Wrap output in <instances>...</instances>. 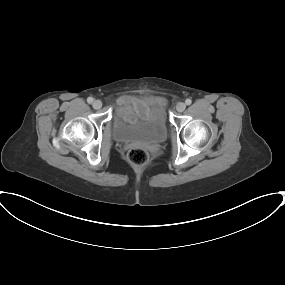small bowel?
<instances>
[{"instance_id": "obj_1", "label": "small bowel", "mask_w": 285, "mask_h": 285, "mask_svg": "<svg viewBox=\"0 0 285 285\" xmlns=\"http://www.w3.org/2000/svg\"><path fill=\"white\" fill-rule=\"evenodd\" d=\"M125 101L128 103H133L135 105L136 113L138 115H144L148 110L149 104H151L152 102H159V103L162 102V100L155 98H145L142 100H135L132 97L125 98ZM130 117H133V113H130Z\"/></svg>"}]
</instances>
